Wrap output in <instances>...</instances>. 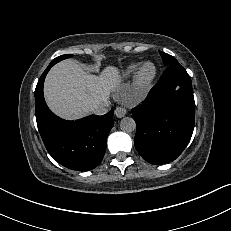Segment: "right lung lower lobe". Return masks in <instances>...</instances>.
<instances>
[{
  "label": "right lung lower lobe",
  "instance_id": "1",
  "mask_svg": "<svg viewBox=\"0 0 231 231\" xmlns=\"http://www.w3.org/2000/svg\"><path fill=\"white\" fill-rule=\"evenodd\" d=\"M54 64V61L49 64L35 89L40 135L47 151L58 163L72 170H92L105 154L107 137L114 125L113 110L103 116L91 115L76 121H66L54 115L43 96L46 74Z\"/></svg>",
  "mask_w": 231,
  "mask_h": 231
}]
</instances>
